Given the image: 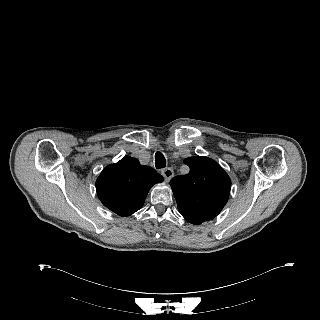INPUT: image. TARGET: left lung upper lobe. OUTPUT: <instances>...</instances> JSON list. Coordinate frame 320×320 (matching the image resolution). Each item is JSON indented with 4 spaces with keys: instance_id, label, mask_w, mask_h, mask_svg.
<instances>
[{
    "instance_id": "obj_1",
    "label": "left lung upper lobe",
    "mask_w": 320,
    "mask_h": 320,
    "mask_svg": "<svg viewBox=\"0 0 320 320\" xmlns=\"http://www.w3.org/2000/svg\"><path fill=\"white\" fill-rule=\"evenodd\" d=\"M184 162L190 172L170 181L178 207L213 219L228 200L231 189L228 174L208 157H189Z\"/></svg>"
}]
</instances>
